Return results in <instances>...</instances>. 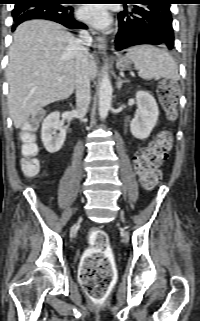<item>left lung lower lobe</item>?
I'll return each instance as SVG.
<instances>
[{
	"instance_id": "1",
	"label": "left lung lower lobe",
	"mask_w": 200,
	"mask_h": 321,
	"mask_svg": "<svg viewBox=\"0 0 200 321\" xmlns=\"http://www.w3.org/2000/svg\"><path fill=\"white\" fill-rule=\"evenodd\" d=\"M173 0H129L131 11L118 14L119 31L116 51L141 44L174 46L170 4Z\"/></svg>"
}]
</instances>
